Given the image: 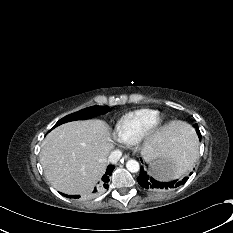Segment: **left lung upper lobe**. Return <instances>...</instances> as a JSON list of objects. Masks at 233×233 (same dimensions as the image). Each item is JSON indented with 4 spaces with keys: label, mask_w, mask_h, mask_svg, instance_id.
Instances as JSON below:
<instances>
[{
    "label": "left lung upper lobe",
    "mask_w": 233,
    "mask_h": 233,
    "mask_svg": "<svg viewBox=\"0 0 233 233\" xmlns=\"http://www.w3.org/2000/svg\"><path fill=\"white\" fill-rule=\"evenodd\" d=\"M196 132H197L198 136H201L198 126H196Z\"/></svg>",
    "instance_id": "1"
}]
</instances>
